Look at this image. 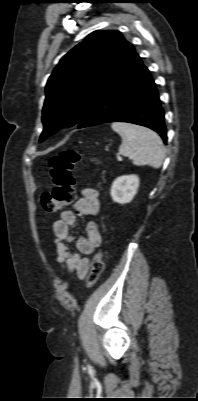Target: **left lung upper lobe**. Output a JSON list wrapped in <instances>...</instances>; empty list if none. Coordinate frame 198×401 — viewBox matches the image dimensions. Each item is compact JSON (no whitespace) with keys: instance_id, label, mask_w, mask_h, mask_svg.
<instances>
[{"instance_id":"1","label":"left lung upper lobe","mask_w":198,"mask_h":401,"mask_svg":"<svg viewBox=\"0 0 198 401\" xmlns=\"http://www.w3.org/2000/svg\"><path fill=\"white\" fill-rule=\"evenodd\" d=\"M133 46L118 31H95L70 50L46 84L43 141L58 127L78 123L107 81L132 53Z\"/></svg>"}]
</instances>
